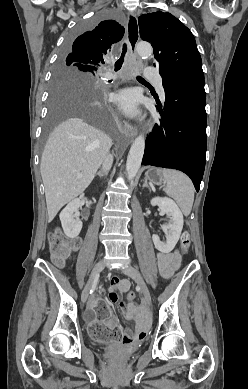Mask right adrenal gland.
I'll return each instance as SVG.
<instances>
[{"instance_id":"2a0ac1e0","label":"right adrenal gland","mask_w":248,"mask_h":389,"mask_svg":"<svg viewBox=\"0 0 248 389\" xmlns=\"http://www.w3.org/2000/svg\"><path fill=\"white\" fill-rule=\"evenodd\" d=\"M96 176H99V177H103L104 176V173H102V172H98V173H96Z\"/></svg>"}]
</instances>
